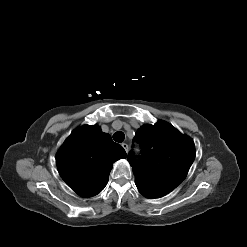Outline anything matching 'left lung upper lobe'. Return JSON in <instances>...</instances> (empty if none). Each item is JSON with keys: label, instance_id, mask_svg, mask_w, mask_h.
Segmentation results:
<instances>
[{"label": "left lung upper lobe", "instance_id": "obj_1", "mask_svg": "<svg viewBox=\"0 0 247 247\" xmlns=\"http://www.w3.org/2000/svg\"><path fill=\"white\" fill-rule=\"evenodd\" d=\"M134 140L141 144V155L136 158L130 152L127 160L142 195L162 197L182 183L195 159V145L190 137L160 120L140 127Z\"/></svg>", "mask_w": 247, "mask_h": 247}]
</instances>
